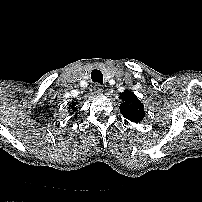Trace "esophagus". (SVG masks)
<instances>
[{"mask_svg":"<svg viewBox=\"0 0 202 202\" xmlns=\"http://www.w3.org/2000/svg\"><path fill=\"white\" fill-rule=\"evenodd\" d=\"M93 89H94V91H95L96 93H102V92H103V87H102V85H100V84H95V85L93 86Z\"/></svg>","mask_w":202,"mask_h":202,"instance_id":"esophagus-1","label":"esophagus"}]
</instances>
